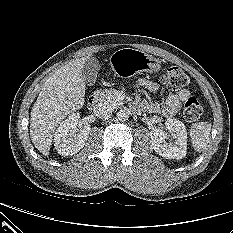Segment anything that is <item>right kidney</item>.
<instances>
[{
	"label": "right kidney",
	"mask_w": 233,
	"mask_h": 233,
	"mask_svg": "<svg viewBox=\"0 0 233 233\" xmlns=\"http://www.w3.org/2000/svg\"><path fill=\"white\" fill-rule=\"evenodd\" d=\"M80 115L72 113L60 123L54 136V146L62 156H71L82 149L90 133V125L78 127Z\"/></svg>",
	"instance_id": "ca27d5eb"
}]
</instances>
